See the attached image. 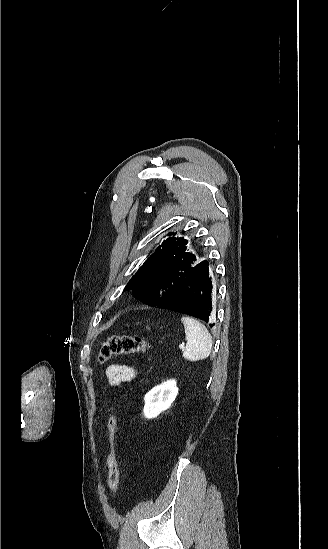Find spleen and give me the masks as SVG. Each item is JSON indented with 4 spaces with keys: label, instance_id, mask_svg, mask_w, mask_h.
I'll return each instance as SVG.
<instances>
[{
    "label": "spleen",
    "instance_id": "obj_1",
    "mask_svg": "<svg viewBox=\"0 0 328 549\" xmlns=\"http://www.w3.org/2000/svg\"><path fill=\"white\" fill-rule=\"evenodd\" d=\"M181 321L184 325L187 341L183 353L184 359H187V361L207 359L211 353L213 343L208 329L193 317H182Z\"/></svg>",
    "mask_w": 328,
    "mask_h": 549
}]
</instances>
